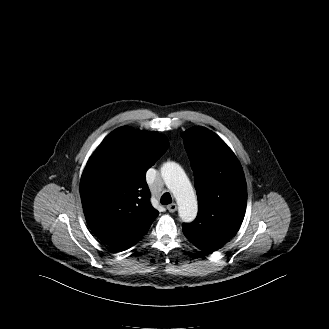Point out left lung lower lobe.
<instances>
[{"mask_svg": "<svg viewBox=\"0 0 329 329\" xmlns=\"http://www.w3.org/2000/svg\"><path fill=\"white\" fill-rule=\"evenodd\" d=\"M183 233H185L183 231ZM234 234L221 232L215 240L192 241V243L206 253H212L221 248Z\"/></svg>", "mask_w": 329, "mask_h": 329, "instance_id": "0a47b994", "label": "left lung lower lobe"}]
</instances>
